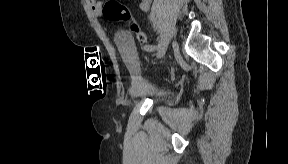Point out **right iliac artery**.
<instances>
[{
    "mask_svg": "<svg viewBox=\"0 0 288 164\" xmlns=\"http://www.w3.org/2000/svg\"><path fill=\"white\" fill-rule=\"evenodd\" d=\"M160 47V44L158 45H149V44H146L143 46L144 50L151 53V52H154L156 49H158Z\"/></svg>",
    "mask_w": 288,
    "mask_h": 164,
    "instance_id": "right-iliac-artery-1",
    "label": "right iliac artery"
}]
</instances>
